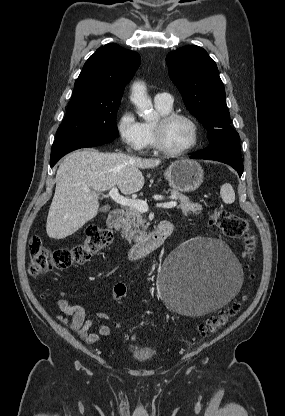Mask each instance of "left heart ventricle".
Wrapping results in <instances>:
<instances>
[{
	"label": "left heart ventricle",
	"instance_id": "obj_1",
	"mask_svg": "<svg viewBox=\"0 0 285 416\" xmlns=\"http://www.w3.org/2000/svg\"><path fill=\"white\" fill-rule=\"evenodd\" d=\"M163 141L171 150L179 151L187 148L193 141L190 124L183 119H175L165 127Z\"/></svg>",
	"mask_w": 285,
	"mask_h": 416
}]
</instances>
